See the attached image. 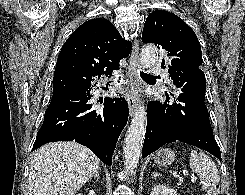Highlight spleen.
Returning <instances> with one entry per match:
<instances>
[{
    "mask_svg": "<svg viewBox=\"0 0 245 195\" xmlns=\"http://www.w3.org/2000/svg\"><path fill=\"white\" fill-rule=\"evenodd\" d=\"M189 166L200 176L203 190L218 185L220 181L218 169L210 157L203 152L198 153L196 150H191Z\"/></svg>",
    "mask_w": 245,
    "mask_h": 195,
    "instance_id": "spleen-1",
    "label": "spleen"
}]
</instances>
